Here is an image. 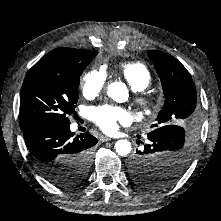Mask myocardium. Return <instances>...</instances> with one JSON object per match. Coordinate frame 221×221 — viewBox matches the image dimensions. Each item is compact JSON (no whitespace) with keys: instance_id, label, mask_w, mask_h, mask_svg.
Returning a JSON list of instances; mask_svg holds the SVG:
<instances>
[{"instance_id":"myocardium-1","label":"myocardium","mask_w":221,"mask_h":221,"mask_svg":"<svg viewBox=\"0 0 221 221\" xmlns=\"http://www.w3.org/2000/svg\"><path fill=\"white\" fill-rule=\"evenodd\" d=\"M134 101L138 109L148 116L152 115L156 110V99L145 91L137 93Z\"/></svg>"}]
</instances>
